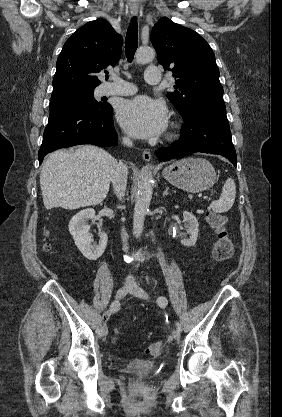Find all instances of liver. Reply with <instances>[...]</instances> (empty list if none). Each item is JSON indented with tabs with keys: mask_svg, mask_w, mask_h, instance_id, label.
<instances>
[{
	"mask_svg": "<svg viewBox=\"0 0 282 417\" xmlns=\"http://www.w3.org/2000/svg\"><path fill=\"white\" fill-rule=\"evenodd\" d=\"M117 160L98 146H78L74 152L55 150L45 160L40 186L45 209H80L107 196Z\"/></svg>",
	"mask_w": 282,
	"mask_h": 417,
	"instance_id": "6515ba94",
	"label": "liver"
}]
</instances>
